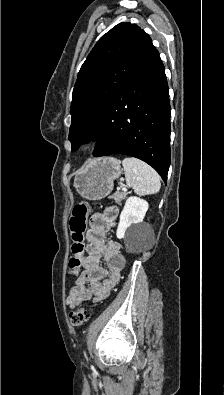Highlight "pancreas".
I'll use <instances>...</instances> for the list:
<instances>
[{"label":"pancreas","instance_id":"1","mask_svg":"<svg viewBox=\"0 0 224 395\" xmlns=\"http://www.w3.org/2000/svg\"><path fill=\"white\" fill-rule=\"evenodd\" d=\"M127 197V193L117 192L113 195V198L117 204H121V201Z\"/></svg>","mask_w":224,"mask_h":395}]
</instances>
